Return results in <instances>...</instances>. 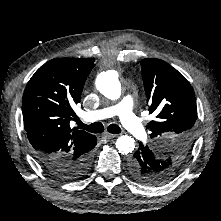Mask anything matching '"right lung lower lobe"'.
Wrapping results in <instances>:
<instances>
[{"instance_id":"obj_1","label":"right lung lower lobe","mask_w":221,"mask_h":221,"mask_svg":"<svg viewBox=\"0 0 221 221\" xmlns=\"http://www.w3.org/2000/svg\"><path fill=\"white\" fill-rule=\"evenodd\" d=\"M95 146L96 144L94 147ZM35 156L45 170H47L53 176L65 180L77 179L83 176L89 170L92 162L90 152L74 157L70 161L44 158L43 156L39 155Z\"/></svg>"}]
</instances>
